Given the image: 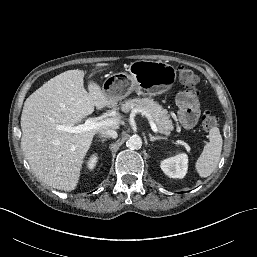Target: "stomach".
I'll return each mask as SVG.
<instances>
[{
    "instance_id": "0dacf381",
    "label": "stomach",
    "mask_w": 257,
    "mask_h": 257,
    "mask_svg": "<svg viewBox=\"0 0 257 257\" xmlns=\"http://www.w3.org/2000/svg\"><path fill=\"white\" fill-rule=\"evenodd\" d=\"M129 73L110 76L102 85L104 94L115 104L132 91L142 96H156L168 91L176 80L175 68L162 61L137 60Z\"/></svg>"
}]
</instances>
